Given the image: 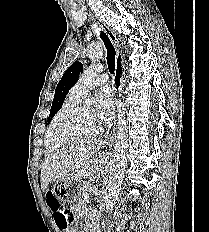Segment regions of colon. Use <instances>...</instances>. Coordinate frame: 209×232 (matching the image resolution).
<instances>
[{
  "mask_svg": "<svg viewBox=\"0 0 209 232\" xmlns=\"http://www.w3.org/2000/svg\"><path fill=\"white\" fill-rule=\"evenodd\" d=\"M45 198H47L48 206L53 211L55 226H60L62 229L67 228L73 219L70 210L60 206L54 197V193H45Z\"/></svg>",
  "mask_w": 209,
  "mask_h": 232,
  "instance_id": "1",
  "label": "colon"
}]
</instances>
